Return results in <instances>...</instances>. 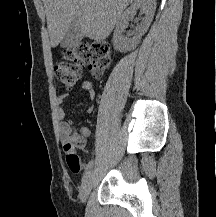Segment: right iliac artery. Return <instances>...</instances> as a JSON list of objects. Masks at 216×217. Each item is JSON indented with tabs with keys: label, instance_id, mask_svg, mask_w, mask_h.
Here are the masks:
<instances>
[{
	"label": "right iliac artery",
	"instance_id": "obj_1",
	"mask_svg": "<svg viewBox=\"0 0 216 217\" xmlns=\"http://www.w3.org/2000/svg\"><path fill=\"white\" fill-rule=\"evenodd\" d=\"M93 160H91L85 167V171H84V174H83V179L90 173L92 167H93Z\"/></svg>",
	"mask_w": 216,
	"mask_h": 217
}]
</instances>
